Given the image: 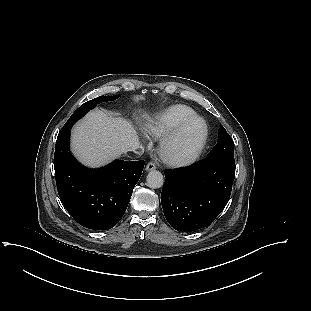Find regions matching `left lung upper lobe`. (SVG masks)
I'll list each match as a JSON object with an SVG mask.
<instances>
[{"instance_id": "obj_1", "label": "left lung upper lobe", "mask_w": 311, "mask_h": 311, "mask_svg": "<svg viewBox=\"0 0 311 311\" xmlns=\"http://www.w3.org/2000/svg\"><path fill=\"white\" fill-rule=\"evenodd\" d=\"M207 158L234 160V142L223 126L219 128L217 144L207 155Z\"/></svg>"}]
</instances>
